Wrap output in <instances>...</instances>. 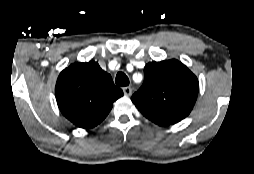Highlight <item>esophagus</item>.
<instances>
[{"instance_id":"1","label":"esophagus","mask_w":254,"mask_h":174,"mask_svg":"<svg viewBox=\"0 0 254 174\" xmlns=\"http://www.w3.org/2000/svg\"><path fill=\"white\" fill-rule=\"evenodd\" d=\"M123 93L126 96H130L132 94V88L127 86V87H123Z\"/></svg>"}]
</instances>
